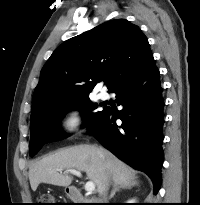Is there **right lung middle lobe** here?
Here are the masks:
<instances>
[{
	"label": "right lung middle lobe",
	"mask_w": 200,
	"mask_h": 205,
	"mask_svg": "<svg viewBox=\"0 0 200 205\" xmlns=\"http://www.w3.org/2000/svg\"><path fill=\"white\" fill-rule=\"evenodd\" d=\"M97 107V104L90 101L89 96L54 101L45 105L39 115L30 120V156L37 154L44 143L67 137L58 126L59 120L66 112L71 109L80 110L85 119V126H93L106 111L104 108L103 111L94 112Z\"/></svg>",
	"instance_id": "1"
}]
</instances>
